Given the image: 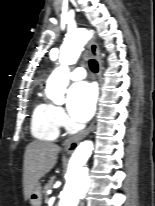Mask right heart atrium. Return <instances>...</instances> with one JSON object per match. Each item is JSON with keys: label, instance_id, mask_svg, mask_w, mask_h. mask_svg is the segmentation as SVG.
Here are the masks:
<instances>
[{"label": "right heart atrium", "instance_id": "obj_1", "mask_svg": "<svg viewBox=\"0 0 155 206\" xmlns=\"http://www.w3.org/2000/svg\"><path fill=\"white\" fill-rule=\"evenodd\" d=\"M53 115L59 127L68 125L69 121L62 107L53 105Z\"/></svg>", "mask_w": 155, "mask_h": 206}]
</instances>
